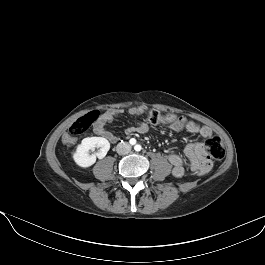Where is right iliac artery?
Listing matches in <instances>:
<instances>
[{
    "label": "right iliac artery",
    "mask_w": 265,
    "mask_h": 265,
    "mask_svg": "<svg viewBox=\"0 0 265 265\" xmlns=\"http://www.w3.org/2000/svg\"><path fill=\"white\" fill-rule=\"evenodd\" d=\"M130 143H131L132 145H134V144L136 143V140H135L134 138H132V139L130 140Z\"/></svg>",
    "instance_id": "obj_1"
}]
</instances>
